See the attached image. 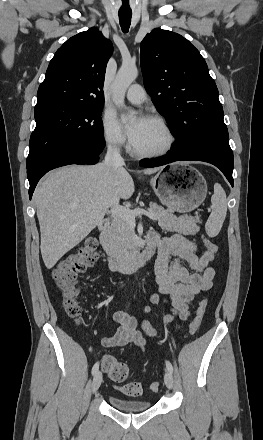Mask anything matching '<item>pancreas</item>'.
<instances>
[{
	"instance_id": "1",
	"label": "pancreas",
	"mask_w": 263,
	"mask_h": 440,
	"mask_svg": "<svg viewBox=\"0 0 263 440\" xmlns=\"http://www.w3.org/2000/svg\"><path fill=\"white\" fill-rule=\"evenodd\" d=\"M135 211V210H133ZM149 211H153L159 218L154 220L162 230L167 232H177L184 235H195L201 223L199 216L183 215L177 217L156 203H150ZM108 253L117 261H122L132 257L138 248L135 243V233L133 226L125 219L115 217L108 232Z\"/></svg>"
}]
</instances>
